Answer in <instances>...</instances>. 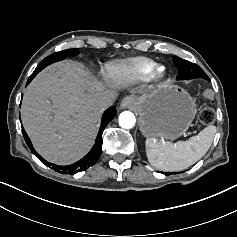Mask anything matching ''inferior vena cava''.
<instances>
[{
	"label": "inferior vena cava",
	"instance_id": "inferior-vena-cava-1",
	"mask_svg": "<svg viewBox=\"0 0 237 237\" xmlns=\"http://www.w3.org/2000/svg\"><path fill=\"white\" fill-rule=\"evenodd\" d=\"M115 95L112 92H101L97 102L101 108L110 106L114 101Z\"/></svg>",
	"mask_w": 237,
	"mask_h": 237
}]
</instances>
